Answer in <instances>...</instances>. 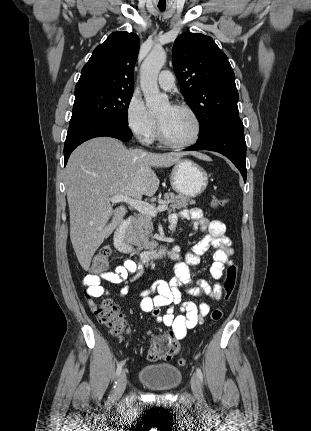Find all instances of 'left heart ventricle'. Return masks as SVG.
<instances>
[{
    "instance_id": "b2bd125f",
    "label": "left heart ventricle",
    "mask_w": 311,
    "mask_h": 431,
    "mask_svg": "<svg viewBox=\"0 0 311 431\" xmlns=\"http://www.w3.org/2000/svg\"><path fill=\"white\" fill-rule=\"evenodd\" d=\"M157 118L169 140L184 143L191 141L196 135V121L187 111L168 105L157 113Z\"/></svg>"
}]
</instances>
